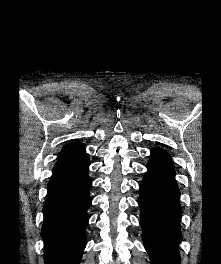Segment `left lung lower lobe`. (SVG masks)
Segmentation results:
<instances>
[{"label":"left lung lower lobe","mask_w":221,"mask_h":264,"mask_svg":"<svg viewBox=\"0 0 221 264\" xmlns=\"http://www.w3.org/2000/svg\"><path fill=\"white\" fill-rule=\"evenodd\" d=\"M146 167L139 197L145 249L151 264H180L182 211L172 159L163 149H154Z\"/></svg>","instance_id":"obj_1"}]
</instances>
